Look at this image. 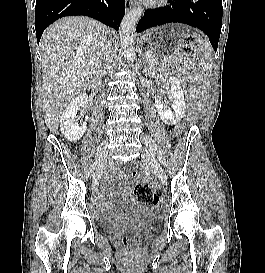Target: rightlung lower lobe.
Here are the masks:
<instances>
[{
	"label": "right lung lower lobe",
	"mask_w": 265,
	"mask_h": 273,
	"mask_svg": "<svg viewBox=\"0 0 265 273\" xmlns=\"http://www.w3.org/2000/svg\"><path fill=\"white\" fill-rule=\"evenodd\" d=\"M124 14L125 0H36L37 41L45 28L61 17L86 15L118 30Z\"/></svg>",
	"instance_id": "obj_1"
}]
</instances>
